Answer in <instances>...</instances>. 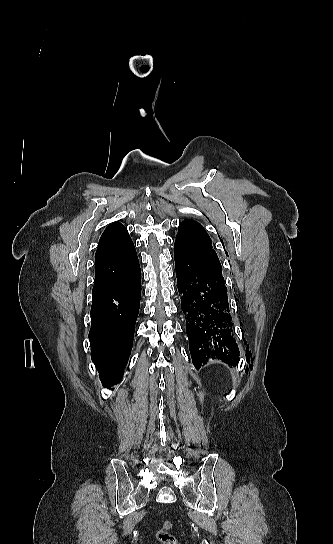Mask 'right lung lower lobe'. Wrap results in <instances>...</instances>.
<instances>
[{
	"label": "right lung lower lobe",
	"instance_id": "right-lung-lower-lobe-1",
	"mask_svg": "<svg viewBox=\"0 0 333 544\" xmlns=\"http://www.w3.org/2000/svg\"><path fill=\"white\" fill-rule=\"evenodd\" d=\"M140 298L139 261L113 283L93 291L89 340L92 361L104 385L122 377L132 348Z\"/></svg>",
	"mask_w": 333,
	"mask_h": 544
}]
</instances>
